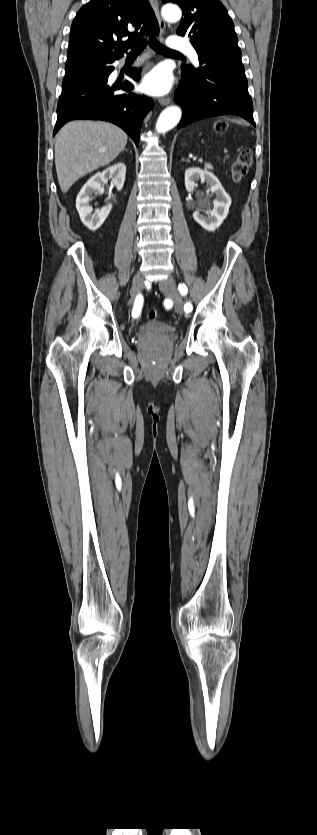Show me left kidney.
I'll return each mask as SVG.
<instances>
[{
    "mask_svg": "<svg viewBox=\"0 0 317 835\" xmlns=\"http://www.w3.org/2000/svg\"><path fill=\"white\" fill-rule=\"evenodd\" d=\"M206 181L210 186L212 194L216 195L213 200L214 209L205 212L203 215L200 211L203 208H210L209 205H200L193 213L194 220L207 231H214L217 229L224 219L227 217L229 207L231 205V198L224 190L223 186L216 178V176L208 170H201L200 168H188L185 172V187L188 192H193L197 186V182Z\"/></svg>",
    "mask_w": 317,
    "mask_h": 835,
    "instance_id": "1",
    "label": "left kidney"
}]
</instances>
